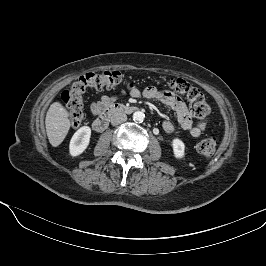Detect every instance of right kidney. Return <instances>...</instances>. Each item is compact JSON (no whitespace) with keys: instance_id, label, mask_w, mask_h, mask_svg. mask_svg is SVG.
I'll list each match as a JSON object with an SVG mask.
<instances>
[{"instance_id":"ca27d5eb","label":"right kidney","mask_w":266,"mask_h":266,"mask_svg":"<svg viewBox=\"0 0 266 266\" xmlns=\"http://www.w3.org/2000/svg\"><path fill=\"white\" fill-rule=\"evenodd\" d=\"M91 137V128L83 126L78 129L71 138L69 152L71 156L82 154L89 145Z\"/></svg>"}]
</instances>
